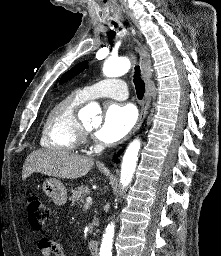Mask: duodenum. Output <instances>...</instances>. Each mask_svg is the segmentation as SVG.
Returning a JSON list of instances; mask_svg holds the SVG:
<instances>
[{
  "mask_svg": "<svg viewBox=\"0 0 221 256\" xmlns=\"http://www.w3.org/2000/svg\"><path fill=\"white\" fill-rule=\"evenodd\" d=\"M90 253L92 256H98L99 254V243L96 240H90L88 244Z\"/></svg>",
  "mask_w": 221,
  "mask_h": 256,
  "instance_id": "410a0bca",
  "label": "duodenum"
}]
</instances>
